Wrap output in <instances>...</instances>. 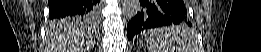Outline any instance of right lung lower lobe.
Segmentation results:
<instances>
[{
	"instance_id": "right-lung-lower-lobe-1",
	"label": "right lung lower lobe",
	"mask_w": 261,
	"mask_h": 52,
	"mask_svg": "<svg viewBox=\"0 0 261 52\" xmlns=\"http://www.w3.org/2000/svg\"><path fill=\"white\" fill-rule=\"evenodd\" d=\"M50 19L88 16H98L99 0H49Z\"/></svg>"
}]
</instances>
